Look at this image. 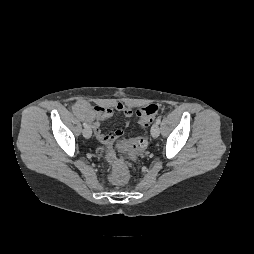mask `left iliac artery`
<instances>
[{
    "mask_svg": "<svg viewBox=\"0 0 254 254\" xmlns=\"http://www.w3.org/2000/svg\"><path fill=\"white\" fill-rule=\"evenodd\" d=\"M156 123H157L158 125L161 123V117H158V118L156 119Z\"/></svg>",
    "mask_w": 254,
    "mask_h": 254,
    "instance_id": "left-iliac-artery-1",
    "label": "left iliac artery"
}]
</instances>
